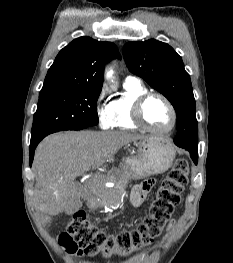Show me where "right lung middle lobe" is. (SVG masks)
Listing matches in <instances>:
<instances>
[{"label": "right lung middle lobe", "instance_id": "dd1d6c3e", "mask_svg": "<svg viewBox=\"0 0 233 263\" xmlns=\"http://www.w3.org/2000/svg\"><path fill=\"white\" fill-rule=\"evenodd\" d=\"M100 92L101 89H73L39 95L31 141L62 130L97 125Z\"/></svg>", "mask_w": 233, "mask_h": 263}]
</instances>
